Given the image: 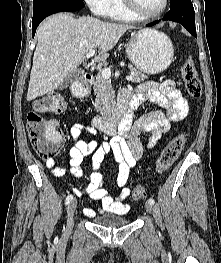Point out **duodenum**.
<instances>
[{"instance_id":"1","label":"duodenum","mask_w":221,"mask_h":263,"mask_svg":"<svg viewBox=\"0 0 221 263\" xmlns=\"http://www.w3.org/2000/svg\"><path fill=\"white\" fill-rule=\"evenodd\" d=\"M93 74L84 75L83 83L75 85L72 92L75 96H80L85 85L92 83ZM139 107V104L132 100L129 93L121 92L117 98L115 112L110 117H97L94 125L97 129L106 134H115L118 130L126 129L130 126L133 112Z\"/></svg>"}]
</instances>
